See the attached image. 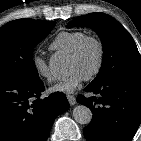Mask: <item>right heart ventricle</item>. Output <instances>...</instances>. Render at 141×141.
<instances>
[{
  "instance_id": "1",
  "label": "right heart ventricle",
  "mask_w": 141,
  "mask_h": 141,
  "mask_svg": "<svg viewBox=\"0 0 141 141\" xmlns=\"http://www.w3.org/2000/svg\"><path fill=\"white\" fill-rule=\"evenodd\" d=\"M87 36L82 31H64L59 33L50 44V49L56 52L70 54L77 44Z\"/></svg>"
}]
</instances>
